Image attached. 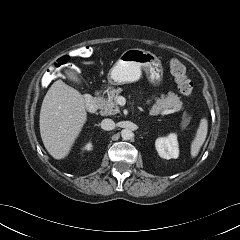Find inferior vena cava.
<instances>
[{
    "mask_svg": "<svg viewBox=\"0 0 240 240\" xmlns=\"http://www.w3.org/2000/svg\"><path fill=\"white\" fill-rule=\"evenodd\" d=\"M100 125L101 128L106 131L113 130L115 128V122L109 118L103 119Z\"/></svg>",
    "mask_w": 240,
    "mask_h": 240,
    "instance_id": "inferior-vena-cava-1",
    "label": "inferior vena cava"
}]
</instances>
